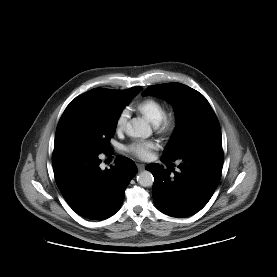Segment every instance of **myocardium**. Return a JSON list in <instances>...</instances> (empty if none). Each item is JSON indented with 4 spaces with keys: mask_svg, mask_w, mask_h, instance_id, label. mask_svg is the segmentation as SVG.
I'll return each instance as SVG.
<instances>
[{
    "mask_svg": "<svg viewBox=\"0 0 277 277\" xmlns=\"http://www.w3.org/2000/svg\"><path fill=\"white\" fill-rule=\"evenodd\" d=\"M176 116L172 112H165L161 120L154 124L156 131L164 137L170 136L176 128Z\"/></svg>",
    "mask_w": 277,
    "mask_h": 277,
    "instance_id": "1",
    "label": "myocardium"
}]
</instances>
